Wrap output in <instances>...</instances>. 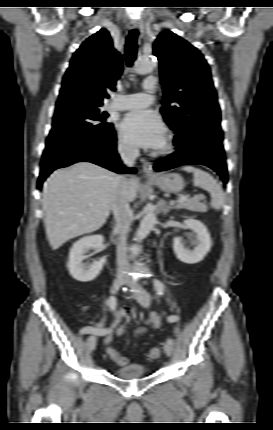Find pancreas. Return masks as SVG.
I'll return each instance as SVG.
<instances>
[{
  "mask_svg": "<svg viewBox=\"0 0 273 430\" xmlns=\"http://www.w3.org/2000/svg\"><path fill=\"white\" fill-rule=\"evenodd\" d=\"M181 209H187L194 212H206L208 210L204 203H201L199 198L186 199L178 206Z\"/></svg>",
  "mask_w": 273,
  "mask_h": 430,
  "instance_id": "obj_1",
  "label": "pancreas"
}]
</instances>
